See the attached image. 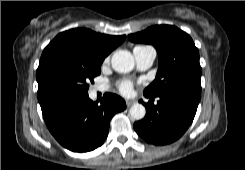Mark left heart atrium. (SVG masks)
<instances>
[{
    "mask_svg": "<svg viewBox=\"0 0 245 170\" xmlns=\"http://www.w3.org/2000/svg\"><path fill=\"white\" fill-rule=\"evenodd\" d=\"M132 88H133V85L131 82L129 81H126V82H123L121 85H120V91L125 94V95H128L132 92Z\"/></svg>",
    "mask_w": 245,
    "mask_h": 170,
    "instance_id": "39dd6f15",
    "label": "left heart atrium"
}]
</instances>
